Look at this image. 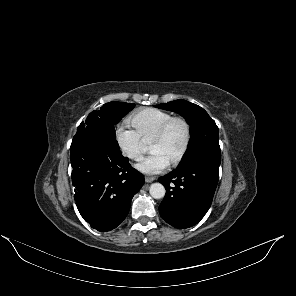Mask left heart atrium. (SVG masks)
<instances>
[{"label": "left heart atrium", "mask_w": 296, "mask_h": 296, "mask_svg": "<svg viewBox=\"0 0 296 296\" xmlns=\"http://www.w3.org/2000/svg\"><path fill=\"white\" fill-rule=\"evenodd\" d=\"M169 159L160 152H152L146 159L137 165V169L146 174H157L168 168Z\"/></svg>", "instance_id": "left-heart-atrium-1"}]
</instances>
